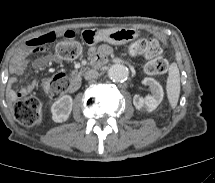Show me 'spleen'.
Instances as JSON below:
<instances>
[{
	"mask_svg": "<svg viewBox=\"0 0 215 183\" xmlns=\"http://www.w3.org/2000/svg\"><path fill=\"white\" fill-rule=\"evenodd\" d=\"M167 97L172 108L177 106L180 95V74L175 63L170 66L166 84Z\"/></svg>",
	"mask_w": 215,
	"mask_h": 183,
	"instance_id": "3e777b00",
	"label": "spleen"
}]
</instances>
